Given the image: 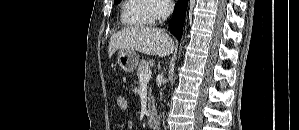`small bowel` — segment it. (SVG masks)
Listing matches in <instances>:
<instances>
[{
	"instance_id": "small-bowel-1",
	"label": "small bowel",
	"mask_w": 299,
	"mask_h": 130,
	"mask_svg": "<svg viewBox=\"0 0 299 130\" xmlns=\"http://www.w3.org/2000/svg\"><path fill=\"white\" fill-rule=\"evenodd\" d=\"M134 128V122L132 120L127 121L126 123V129L132 130Z\"/></svg>"
}]
</instances>
